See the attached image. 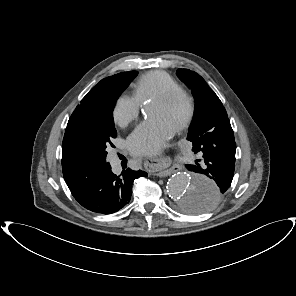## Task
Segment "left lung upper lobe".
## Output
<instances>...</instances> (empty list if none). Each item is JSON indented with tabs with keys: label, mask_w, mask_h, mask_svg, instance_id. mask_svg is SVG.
<instances>
[{
	"label": "left lung upper lobe",
	"mask_w": 296,
	"mask_h": 296,
	"mask_svg": "<svg viewBox=\"0 0 296 296\" xmlns=\"http://www.w3.org/2000/svg\"><path fill=\"white\" fill-rule=\"evenodd\" d=\"M177 75L192 89L195 98L194 117L187 140L192 142L194 153L202 152L206 146L204 135L229 119L220 99L200 75L189 69H178ZM193 203L194 201L188 202L182 209L195 211Z\"/></svg>",
	"instance_id": "1"
}]
</instances>
